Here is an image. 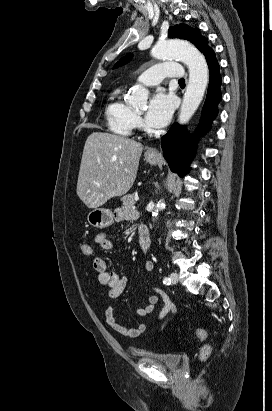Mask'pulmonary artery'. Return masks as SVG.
Here are the masks:
<instances>
[{"label":"pulmonary artery","instance_id":"e3ab8cb5","mask_svg":"<svg viewBox=\"0 0 272 411\" xmlns=\"http://www.w3.org/2000/svg\"><path fill=\"white\" fill-rule=\"evenodd\" d=\"M183 78L184 73L179 65L176 62H164L156 64L143 73H141L137 81L146 85V86H156L162 82L164 78Z\"/></svg>","mask_w":272,"mask_h":411}]
</instances>
